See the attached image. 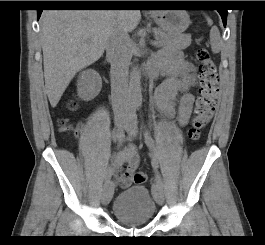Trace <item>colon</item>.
Returning <instances> with one entry per match:
<instances>
[{
    "instance_id": "5ec220e1",
    "label": "colon",
    "mask_w": 265,
    "mask_h": 245,
    "mask_svg": "<svg viewBox=\"0 0 265 245\" xmlns=\"http://www.w3.org/2000/svg\"><path fill=\"white\" fill-rule=\"evenodd\" d=\"M196 59L199 71L200 89L197 102L194 108L192 121L188 130V136L192 141H197L202 134V130L211 120L219 94V79L217 67L209 52L204 48H198ZM77 94L74 93V97ZM73 110L77 109V103L73 100L70 103ZM134 183L142 184L147 180V175L143 172L134 174Z\"/></svg>"
}]
</instances>
